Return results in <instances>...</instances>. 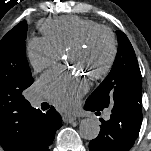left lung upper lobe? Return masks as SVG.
Returning <instances> with one entry per match:
<instances>
[{
	"mask_svg": "<svg viewBox=\"0 0 151 151\" xmlns=\"http://www.w3.org/2000/svg\"><path fill=\"white\" fill-rule=\"evenodd\" d=\"M118 51L113 67L104 81L88 97L87 103L96 110L110 106L131 109V94L142 88V76L134 49L122 31H116Z\"/></svg>",
	"mask_w": 151,
	"mask_h": 151,
	"instance_id": "obj_1",
	"label": "left lung upper lobe"
}]
</instances>
